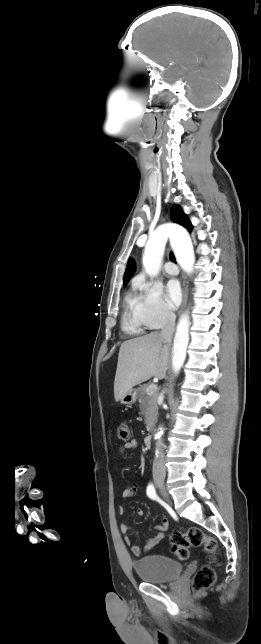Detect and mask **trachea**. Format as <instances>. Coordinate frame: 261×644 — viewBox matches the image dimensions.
Masks as SVG:
<instances>
[{
    "mask_svg": "<svg viewBox=\"0 0 261 644\" xmlns=\"http://www.w3.org/2000/svg\"><path fill=\"white\" fill-rule=\"evenodd\" d=\"M170 259H171V261L175 262V257H174V254L172 252L170 253Z\"/></svg>",
    "mask_w": 261,
    "mask_h": 644,
    "instance_id": "1",
    "label": "trachea"
}]
</instances>
